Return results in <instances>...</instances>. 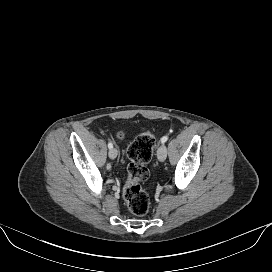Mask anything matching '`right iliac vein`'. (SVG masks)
I'll return each instance as SVG.
<instances>
[{
	"label": "right iliac vein",
	"instance_id": "obj_1",
	"mask_svg": "<svg viewBox=\"0 0 272 272\" xmlns=\"http://www.w3.org/2000/svg\"><path fill=\"white\" fill-rule=\"evenodd\" d=\"M109 157L111 158V159H115L116 157H117V154H118V152H117V149L116 148H111L110 150H109Z\"/></svg>",
	"mask_w": 272,
	"mask_h": 272
}]
</instances>
